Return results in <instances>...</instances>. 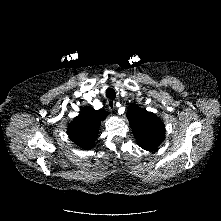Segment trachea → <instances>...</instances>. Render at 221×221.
Here are the masks:
<instances>
[{"instance_id": "obj_1", "label": "trachea", "mask_w": 221, "mask_h": 221, "mask_svg": "<svg viewBox=\"0 0 221 221\" xmlns=\"http://www.w3.org/2000/svg\"><path fill=\"white\" fill-rule=\"evenodd\" d=\"M106 97L108 99L114 100L116 98V93L112 88H108L106 90Z\"/></svg>"}]
</instances>
